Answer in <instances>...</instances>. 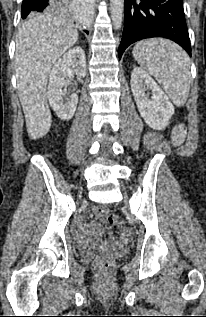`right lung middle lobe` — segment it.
<instances>
[{"label": "right lung middle lobe", "mask_w": 206, "mask_h": 317, "mask_svg": "<svg viewBox=\"0 0 206 317\" xmlns=\"http://www.w3.org/2000/svg\"><path fill=\"white\" fill-rule=\"evenodd\" d=\"M65 2L66 0H56L54 3V8L51 11L61 10L64 7ZM30 8H31L30 6L22 3V14H21L22 19H25L27 17H33L41 13V12H32Z\"/></svg>", "instance_id": "obj_1"}]
</instances>
